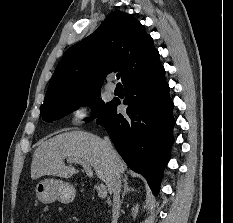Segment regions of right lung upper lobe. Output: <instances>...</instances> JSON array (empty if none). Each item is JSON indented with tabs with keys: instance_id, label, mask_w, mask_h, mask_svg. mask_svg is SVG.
<instances>
[{
	"instance_id": "cb5924a9",
	"label": "right lung upper lobe",
	"mask_w": 233,
	"mask_h": 223,
	"mask_svg": "<svg viewBox=\"0 0 233 223\" xmlns=\"http://www.w3.org/2000/svg\"><path fill=\"white\" fill-rule=\"evenodd\" d=\"M159 62V52L144 26L132 15L114 11L93 34L65 52L42 105L101 88L112 71H120L124 83Z\"/></svg>"
}]
</instances>
